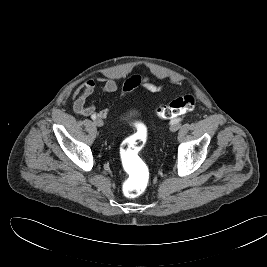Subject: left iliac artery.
Returning a JSON list of instances; mask_svg holds the SVG:
<instances>
[{
  "mask_svg": "<svg viewBox=\"0 0 267 267\" xmlns=\"http://www.w3.org/2000/svg\"><path fill=\"white\" fill-rule=\"evenodd\" d=\"M181 121H182V118H175V119L171 120V124L179 123Z\"/></svg>",
  "mask_w": 267,
  "mask_h": 267,
  "instance_id": "1",
  "label": "left iliac artery"
}]
</instances>
